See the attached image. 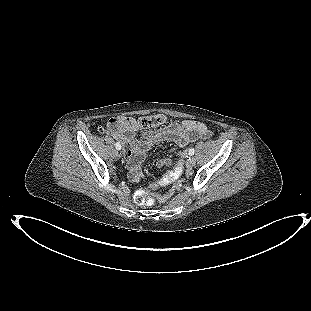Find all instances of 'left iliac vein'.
<instances>
[{"instance_id": "4c4485c4", "label": "left iliac vein", "mask_w": 311, "mask_h": 311, "mask_svg": "<svg viewBox=\"0 0 311 311\" xmlns=\"http://www.w3.org/2000/svg\"><path fill=\"white\" fill-rule=\"evenodd\" d=\"M190 165L191 166H194L195 165V158L194 157H192L191 159H190Z\"/></svg>"}]
</instances>
